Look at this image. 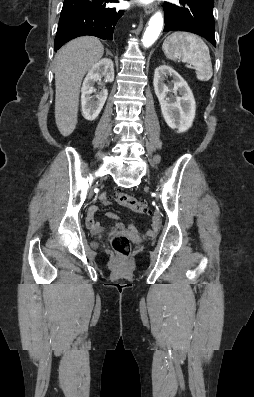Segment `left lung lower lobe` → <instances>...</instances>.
<instances>
[{
  "mask_svg": "<svg viewBox=\"0 0 254 397\" xmlns=\"http://www.w3.org/2000/svg\"><path fill=\"white\" fill-rule=\"evenodd\" d=\"M213 3L214 0H179L178 4L165 2L163 31H189L203 36L216 46Z\"/></svg>",
  "mask_w": 254,
  "mask_h": 397,
  "instance_id": "0a47b994",
  "label": "left lung lower lobe"
}]
</instances>
